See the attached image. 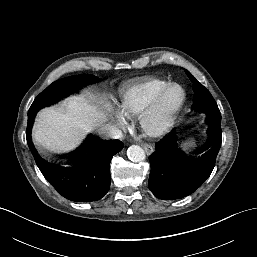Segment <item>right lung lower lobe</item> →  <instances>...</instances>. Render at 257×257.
I'll use <instances>...</instances> for the list:
<instances>
[{
    "instance_id": "obj_1",
    "label": "right lung lower lobe",
    "mask_w": 257,
    "mask_h": 257,
    "mask_svg": "<svg viewBox=\"0 0 257 257\" xmlns=\"http://www.w3.org/2000/svg\"><path fill=\"white\" fill-rule=\"evenodd\" d=\"M34 118L28 117L26 137L37 166L46 180L63 197L76 202L101 199L110 188V161L123 148L118 140L103 141L95 136L86 139L81 156L71 163H53L42 158L35 149L31 130Z\"/></svg>"
}]
</instances>
